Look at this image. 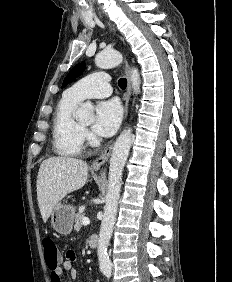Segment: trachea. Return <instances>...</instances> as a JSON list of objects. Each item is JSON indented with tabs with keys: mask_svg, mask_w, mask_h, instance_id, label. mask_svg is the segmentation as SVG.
Listing matches in <instances>:
<instances>
[{
	"mask_svg": "<svg viewBox=\"0 0 232 282\" xmlns=\"http://www.w3.org/2000/svg\"><path fill=\"white\" fill-rule=\"evenodd\" d=\"M118 85L121 89H125L127 86V80L125 78L119 79Z\"/></svg>",
	"mask_w": 232,
	"mask_h": 282,
	"instance_id": "trachea-1",
	"label": "trachea"
}]
</instances>
